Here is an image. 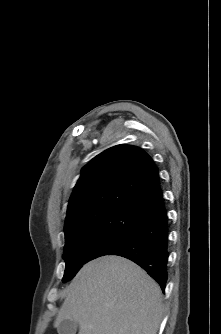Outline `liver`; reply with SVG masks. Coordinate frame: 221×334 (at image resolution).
Instances as JSON below:
<instances>
[{"instance_id":"liver-1","label":"liver","mask_w":221,"mask_h":334,"mask_svg":"<svg viewBox=\"0 0 221 334\" xmlns=\"http://www.w3.org/2000/svg\"><path fill=\"white\" fill-rule=\"evenodd\" d=\"M162 313L161 289L141 267L103 256L77 273L54 327L69 319L79 334H157Z\"/></svg>"}]
</instances>
